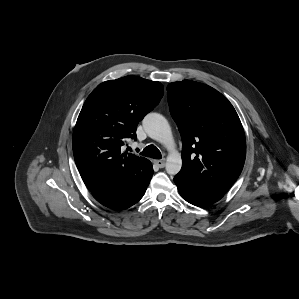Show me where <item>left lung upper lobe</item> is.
<instances>
[{
    "label": "left lung upper lobe",
    "instance_id": "5c2ea615",
    "mask_svg": "<svg viewBox=\"0 0 299 299\" xmlns=\"http://www.w3.org/2000/svg\"><path fill=\"white\" fill-rule=\"evenodd\" d=\"M167 92L183 142L177 176L225 194L246 157L245 134L234 107L214 88L190 80L170 83Z\"/></svg>",
    "mask_w": 299,
    "mask_h": 299
}]
</instances>
